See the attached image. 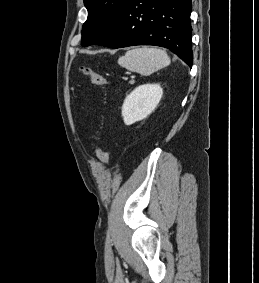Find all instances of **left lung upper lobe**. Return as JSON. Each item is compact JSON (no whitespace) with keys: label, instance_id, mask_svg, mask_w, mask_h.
Wrapping results in <instances>:
<instances>
[{"label":"left lung upper lobe","instance_id":"obj_1","mask_svg":"<svg viewBox=\"0 0 259 283\" xmlns=\"http://www.w3.org/2000/svg\"><path fill=\"white\" fill-rule=\"evenodd\" d=\"M128 0H84L88 18L83 24L81 45L102 40L115 25Z\"/></svg>","mask_w":259,"mask_h":283}]
</instances>
